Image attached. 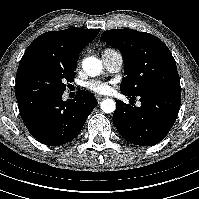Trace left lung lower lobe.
Here are the masks:
<instances>
[{
    "label": "left lung lower lobe",
    "mask_w": 199,
    "mask_h": 199,
    "mask_svg": "<svg viewBox=\"0 0 199 199\" xmlns=\"http://www.w3.org/2000/svg\"><path fill=\"white\" fill-rule=\"evenodd\" d=\"M138 96L141 107L116 100L113 123L126 141L140 146L155 145L165 138L176 121L181 91L157 90Z\"/></svg>",
    "instance_id": "left-lung-lower-lobe-1"
}]
</instances>
